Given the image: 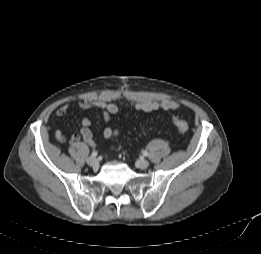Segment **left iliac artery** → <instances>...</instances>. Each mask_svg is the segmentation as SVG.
I'll list each match as a JSON object with an SVG mask.
<instances>
[{
  "mask_svg": "<svg viewBox=\"0 0 261 254\" xmlns=\"http://www.w3.org/2000/svg\"><path fill=\"white\" fill-rule=\"evenodd\" d=\"M143 155L147 156L148 152L147 151H143Z\"/></svg>",
  "mask_w": 261,
  "mask_h": 254,
  "instance_id": "obj_1",
  "label": "left iliac artery"
}]
</instances>
